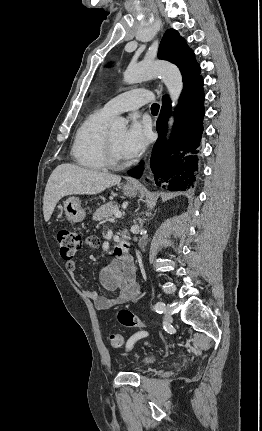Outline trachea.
Instances as JSON below:
<instances>
[{
	"instance_id": "1",
	"label": "trachea",
	"mask_w": 262,
	"mask_h": 431,
	"mask_svg": "<svg viewBox=\"0 0 262 431\" xmlns=\"http://www.w3.org/2000/svg\"><path fill=\"white\" fill-rule=\"evenodd\" d=\"M151 111H152V113H158V111H159V104H157V103H153L152 104V106H151Z\"/></svg>"
}]
</instances>
